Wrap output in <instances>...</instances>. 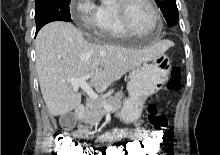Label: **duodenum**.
Returning <instances> with one entry per match:
<instances>
[{
    "mask_svg": "<svg viewBox=\"0 0 220 155\" xmlns=\"http://www.w3.org/2000/svg\"><path fill=\"white\" fill-rule=\"evenodd\" d=\"M85 112H86L85 106L79 105L78 107L75 108L74 115L76 118L80 119L84 116Z\"/></svg>",
    "mask_w": 220,
    "mask_h": 155,
    "instance_id": "duodenum-1",
    "label": "duodenum"
}]
</instances>
